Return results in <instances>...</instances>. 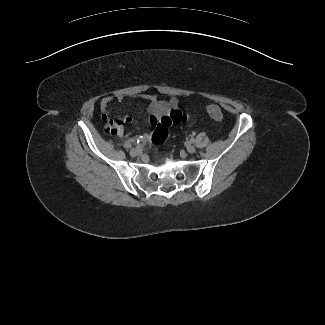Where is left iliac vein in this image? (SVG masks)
Returning a JSON list of instances; mask_svg holds the SVG:
<instances>
[{
  "label": "left iliac vein",
  "mask_w": 325,
  "mask_h": 325,
  "mask_svg": "<svg viewBox=\"0 0 325 325\" xmlns=\"http://www.w3.org/2000/svg\"><path fill=\"white\" fill-rule=\"evenodd\" d=\"M186 149H187V151H188L189 153H194V152H195V147H194L193 145H191V144H188V145L186 146Z\"/></svg>",
  "instance_id": "4c4485c4"
}]
</instances>
